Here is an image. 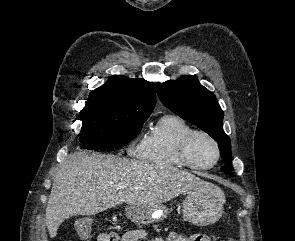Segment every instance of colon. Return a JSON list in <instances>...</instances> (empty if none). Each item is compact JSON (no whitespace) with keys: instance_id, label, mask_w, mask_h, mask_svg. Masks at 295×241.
<instances>
[{"instance_id":"colon-1","label":"colon","mask_w":295,"mask_h":241,"mask_svg":"<svg viewBox=\"0 0 295 241\" xmlns=\"http://www.w3.org/2000/svg\"><path fill=\"white\" fill-rule=\"evenodd\" d=\"M91 226H92V223L89 222L87 228H85V229L82 231V235H83L84 237H87V236L89 235V233L91 232ZM224 241H234V240L228 239V240H224Z\"/></svg>"}]
</instances>
